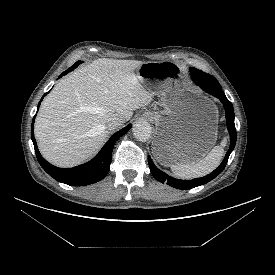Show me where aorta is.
<instances>
[{
	"instance_id": "obj_1",
	"label": "aorta",
	"mask_w": 275,
	"mask_h": 275,
	"mask_svg": "<svg viewBox=\"0 0 275 275\" xmlns=\"http://www.w3.org/2000/svg\"><path fill=\"white\" fill-rule=\"evenodd\" d=\"M132 132L137 140L145 142L151 136V126L148 122L140 121L133 125Z\"/></svg>"
}]
</instances>
